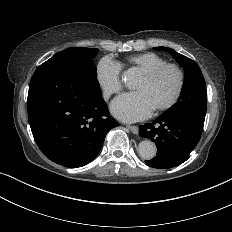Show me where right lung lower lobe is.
Returning a JSON list of instances; mask_svg holds the SVG:
<instances>
[{
    "instance_id": "right-lung-lower-lobe-1",
    "label": "right lung lower lobe",
    "mask_w": 232,
    "mask_h": 232,
    "mask_svg": "<svg viewBox=\"0 0 232 232\" xmlns=\"http://www.w3.org/2000/svg\"><path fill=\"white\" fill-rule=\"evenodd\" d=\"M84 63L47 60L33 74L28 92L29 124L37 145L51 161L69 168L93 160L107 132L119 125Z\"/></svg>"
}]
</instances>
